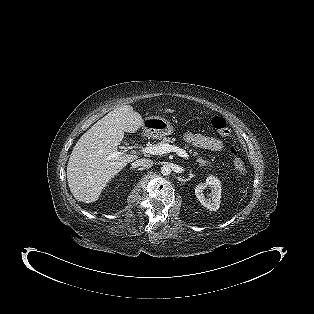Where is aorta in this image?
<instances>
[{
    "label": "aorta",
    "mask_w": 314,
    "mask_h": 314,
    "mask_svg": "<svg viewBox=\"0 0 314 314\" xmlns=\"http://www.w3.org/2000/svg\"><path fill=\"white\" fill-rule=\"evenodd\" d=\"M161 173L163 176H168L171 173V167L170 165H163L161 167Z\"/></svg>",
    "instance_id": "aorta-1"
}]
</instances>
